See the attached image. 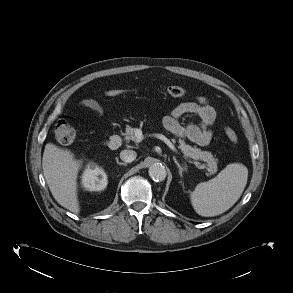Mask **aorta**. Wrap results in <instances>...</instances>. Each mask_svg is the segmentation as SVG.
Returning <instances> with one entry per match:
<instances>
[{"mask_svg":"<svg viewBox=\"0 0 293 293\" xmlns=\"http://www.w3.org/2000/svg\"><path fill=\"white\" fill-rule=\"evenodd\" d=\"M149 176L152 180L160 182L166 178V169L162 164L155 163L149 167Z\"/></svg>","mask_w":293,"mask_h":293,"instance_id":"762f6f07","label":"aorta"}]
</instances>
